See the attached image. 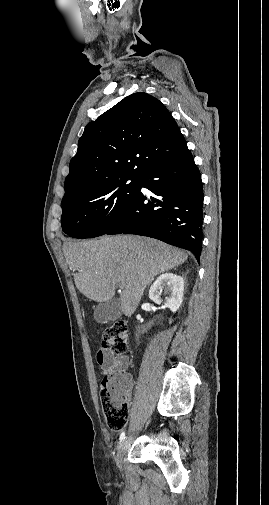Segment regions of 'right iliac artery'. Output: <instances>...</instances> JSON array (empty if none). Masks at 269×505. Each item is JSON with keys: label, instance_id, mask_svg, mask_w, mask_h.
Returning <instances> with one entry per match:
<instances>
[{"label": "right iliac artery", "instance_id": "82829eb1", "mask_svg": "<svg viewBox=\"0 0 269 505\" xmlns=\"http://www.w3.org/2000/svg\"><path fill=\"white\" fill-rule=\"evenodd\" d=\"M124 439H125V432L121 433L119 440H120V442H121V441H123Z\"/></svg>", "mask_w": 269, "mask_h": 505}]
</instances>
